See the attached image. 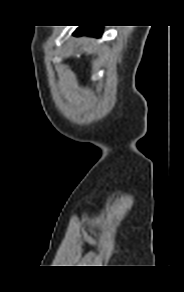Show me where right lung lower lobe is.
<instances>
[{
    "instance_id": "98d812e1",
    "label": "right lung lower lobe",
    "mask_w": 184,
    "mask_h": 292,
    "mask_svg": "<svg viewBox=\"0 0 184 292\" xmlns=\"http://www.w3.org/2000/svg\"><path fill=\"white\" fill-rule=\"evenodd\" d=\"M102 27L101 26H80L76 31L75 35H93L101 36Z\"/></svg>"
}]
</instances>
